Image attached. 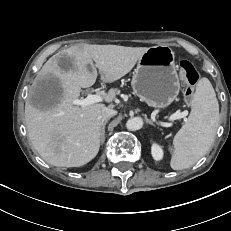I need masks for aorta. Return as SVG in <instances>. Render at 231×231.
Segmentation results:
<instances>
[{"label":"aorta","mask_w":231,"mask_h":231,"mask_svg":"<svg viewBox=\"0 0 231 231\" xmlns=\"http://www.w3.org/2000/svg\"><path fill=\"white\" fill-rule=\"evenodd\" d=\"M126 127L131 131L139 130L143 127V120L140 117L129 118L126 122Z\"/></svg>","instance_id":"1"}]
</instances>
